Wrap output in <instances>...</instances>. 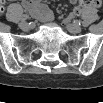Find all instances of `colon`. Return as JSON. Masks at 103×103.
<instances>
[{"label":"colon","instance_id":"1","mask_svg":"<svg viewBox=\"0 0 103 103\" xmlns=\"http://www.w3.org/2000/svg\"><path fill=\"white\" fill-rule=\"evenodd\" d=\"M81 6H91V7H100L101 2L99 0H88V1H82L80 3ZM2 11V9L0 8ZM79 12V9H76V13Z\"/></svg>","mask_w":103,"mask_h":103}]
</instances>
